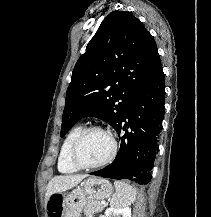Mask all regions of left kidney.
Here are the masks:
<instances>
[{
    "mask_svg": "<svg viewBox=\"0 0 211 217\" xmlns=\"http://www.w3.org/2000/svg\"><path fill=\"white\" fill-rule=\"evenodd\" d=\"M131 217V209L129 207H122V208H108L105 211V216L101 217Z\"/></svg>",
    "mask_w": 211,
    "mask_h": 217,
    "instance_id": "obj_1",
    "label": "left kidney"
}]
</instances>
